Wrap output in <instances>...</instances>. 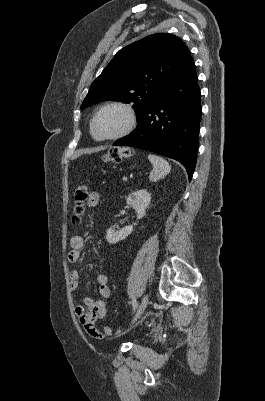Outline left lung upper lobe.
Wrapping results in <instances>:
<instances>
[{
    "mask_svg": "<svg viewBox=\"0 0 265 401\" xmlns=\"http://www.w3.org/2000/svg\"><path fill=\"white\" fill-rule=\"evenodd\" d=\"M191 59L179 37L168 33L147 36L114 56L92 82L81 109L108 100L133 102L139 119Z\"/></svg>",
    "mask_w": 265,
    "mask_h": 401,
    "instance_id": "1",
    "label": "left lung upper lobe"
}]
</instances>
